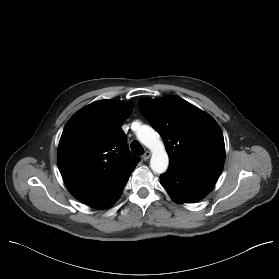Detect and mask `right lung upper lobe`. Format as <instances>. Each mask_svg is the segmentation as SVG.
<instances>
[{
    "instance_id": "obj_1",
    "label": "right lung upper lobe",
    "mask_w": 279,
    "mask_h": 279,
    "mask_svg": "<svg viewBox=\"0 0 279 279\" xmlns=\"http://www.w3.org/2000/svg\"><path fill=\"white\" fill-rule=\"evenodd\" d=\"M131 102L100 100L76 112L64 127L57 161L74 197L88 201L126 182L139 162L131 154L121 123Z\"/></svg>"
}]
</instances>
